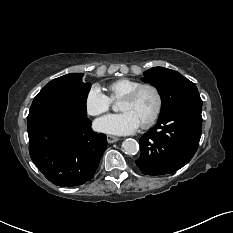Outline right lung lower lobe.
Wrapping results in <instances>:
<instances>
[{
	"instance_id": "1",
	"label": "right lung lower lobe",
	"mask_w": 233,
	"mask_h": 233,
	"mask_svg": "<svg viewBox=\"0 0 233 233\" xmlns=\"http://www.w3.org/2000/svg\"><path fill=\"white\" fill-rule=\"evenodd\" d=\"M29 153L55 185L73 187L89 181L106 149V135L95 133L86 113L64 104L30 110Z\"/></svg>"
}]
</instances>
